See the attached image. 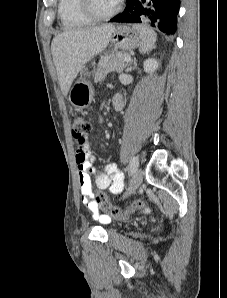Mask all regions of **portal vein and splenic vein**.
<instances>
[{"instance_id": "obj_1", "label": "portal vein and splenic vein", "mask_w": 227, "mask_h": 298, "mask_svg": "<svg viewBox=\"0 0 227 298\" xmlns=\"http://www.w3.org/2000/svg\"><path fill=\"white\" fill-rule=\"evenodd\" d=\"M131 60V57L128 55V56H125L123 61L125 62H129Z\"/></svg>"}]
</instances>
